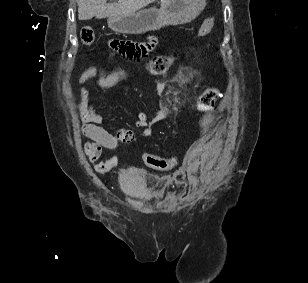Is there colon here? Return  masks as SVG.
I'll list each match as a JSON object with an SVG mask.
<instances>
[{
	"label": "colon",
	"instance_id": "1",
	"mask_svg": "<svg viewBox=\"0 0 308 283\" xmlns=\"http://www.w3.org/2000/svg\"><path fill=\"white\" fill-rule=\"evenodd\" d=\"M214 18H206L198 30L199 36H206L214 27ZM80 38L85 45L91 46L95 43V33L89 26H83L80 30ZM172 59L168 56L153 57L147 64L148 71L153 75L164 74L170 67ZM220 97V90L216 86H211L204 90L198 97L196 107L198 112L206 113L212 110L216 101ZM145 163L157 170H165L172 168L175 164L174 158H165L154 154L144 155Z\"/></svg>",
	"mask_w": 308,
	"mask_h": 283
}]
</instances>
